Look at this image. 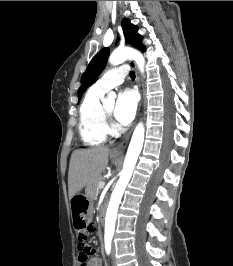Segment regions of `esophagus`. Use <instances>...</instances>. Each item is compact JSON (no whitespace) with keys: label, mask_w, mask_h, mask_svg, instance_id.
Returning <instances> with one entry per match:
<instances>
[{"label":"esophagus","mask_w":233,"mask_h":266,"mask_svg":"<svg viewBox=\"0 0 233 266\" xmlns=\"http://www.w3.org/2000/svg\"><path fill=\"white\" fill-rule=\"evenodd\" d=\"M129 64H130V66L135 70L136 83H137L138 87L140 88V77H139L138 70H137V68H136V64H135V62H133V61H130ZM141 105H142V102L140 103L139 111H138V115H137V118H136V120H135V122H134L132 128H131V129L129 130V132L124 136L123 140L119 143V145H118L117 147H115V148L112 150V153H114V154H120V153H122V152L125 150V148H126L128 142H129L130 136H131V134H132V131H133V129H134V127H135V125H136V123H137V121H138V118H139V115H140V110H141Z\"/></svg>","instance_id":"1"}]
</instances>
